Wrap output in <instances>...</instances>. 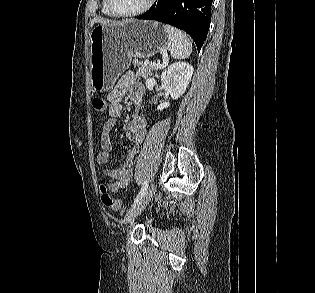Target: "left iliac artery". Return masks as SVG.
Returning a JSON list of instances; mask_svg holds the SVG:
<instances>
[{
    "mask_svg": "<svg viewBox=\"0 0 315 293\" xmlns=\"http://www.w3.org/2000/svg\"><path fill=\"white\" fill-rule=\"evenodd\" d=\"M147 188H148V183H147V181H145L143 183V186H142L140 192L138 193V195H137V197H136V199L134 201V204L136 202H138L144 196L145 192L147 191Z\"/></svg>",
    "mask_w": 315,
    "mask_h": 293,
    "instance_id": "left-iliac-artery-1",
    "label": "left iliac artery"
}]
</instances>
